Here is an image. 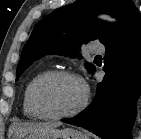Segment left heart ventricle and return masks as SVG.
Listing matches in <instances>:
<instances>
[{
  "instance_id": "obj_1",
  "label": "left heart ventricle",
  "mask_w": 141,
  "mask_h": 139,
  "mask_svg": "<svg viewBox=\"0 0 141 139\" xmlns=\"http://www.w3.org/2000/svg\"><path fill=\"white\" fill-rule=\"evenodd\" d=\"M81 84L69 77L48 81L41 90V100L51 113H63L76 107L82 99Z\"/></svg>"
}]
</instances>
